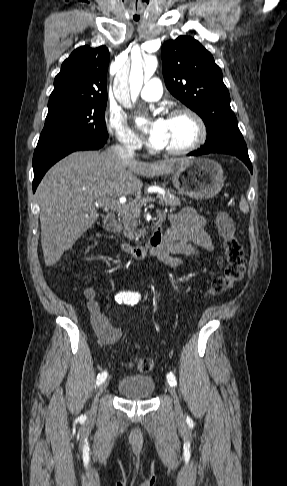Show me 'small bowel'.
<instances>
[{"instance_id": "obj_1", "label": "small bowel", "mask_w": 287, "mask_h": 486, "mask_svg": "<svg viewBox=\"0 0 287 486\" xmlns=\"http://www.w3.org/2000/svg\"><path fill=\"white\" fill-rule=\"evenodd\" d=\"M159 217L165 218L160 212ZM171 227L164 233L161 248L154 257L169 267H180L182 262L173 258V254L197 255L200 250H213V244L206 230L205 219L192 207H184L169 215ZM87 307L91 316L92 327L103 344H114L121 338V331L113 326L102 311L100 301L92 287L84 290Z\"/></svg>"}]
</instances>
